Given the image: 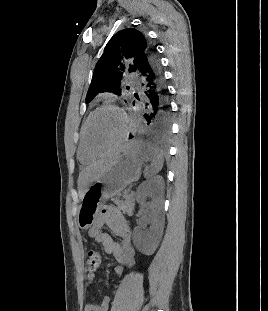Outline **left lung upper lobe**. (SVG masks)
Here are the masks:
<instances>
[{"mask_svg": "<svg viewBox=\"0 0 268 311\" xmlns=\"http://www.w3.org/2000/svg\"><path fill=\"white\" fill-rule=\"evenodd\" d=\"M148 48L149 43L139 30L126 28L117 32L96 64L86 103L102 92L120 96L123 77L127 73H138L139 64L148 60Z\"/></svg>", "mask_w": 268, "mask_h": 311, "instance_id": "left-lung-upper-lobe-1", "label": "left lung upper lobe"}]
</instances>
